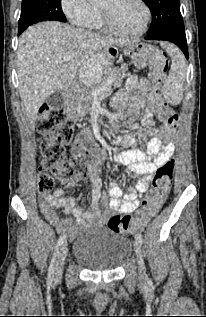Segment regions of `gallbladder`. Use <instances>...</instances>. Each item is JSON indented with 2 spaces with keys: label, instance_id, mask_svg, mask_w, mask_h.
Wrapping results in <instances>:
<instances>
[{
  "label": "gallbladder",
  "instance_id": "bac80fb5",
  "mask_svg": "<svg viewBox=\"0 0 206 317\" xmlns=\"http://www.w3.org/2000/svg\"><path fill=\"white\" fill-rule=\"evenodd\" d=\"M46 103L51 109H60L64 103H65V94L63 91H58L53 94H51L48 99L46 100Z\"/></svg>",
  "mask_w": 206,
  "mask_h": 317
}]
</instances>
